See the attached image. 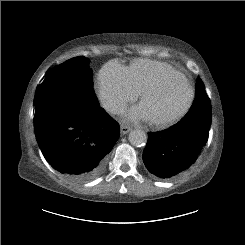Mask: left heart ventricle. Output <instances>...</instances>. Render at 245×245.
Wrapping results in <instances>:
<instances>
[{
  "mask_svg": "<svg viewBox=\"0 0 245 245\" xmlns=\"http://www.w3.org/2000/svg\"><path fill=\"white\" fill-rule=\"evenodd\" d=\"M190 89L184 78L173 76L155 94L141 104L148 120L164 119L178 113L186 105Z\"/></svg>",
  "mask_w": 245,
  "mask_h": 245,
  "instance_id": "left-heart-ventricle-1",
  "label": "left heart ventricle"
}]
</instances>
